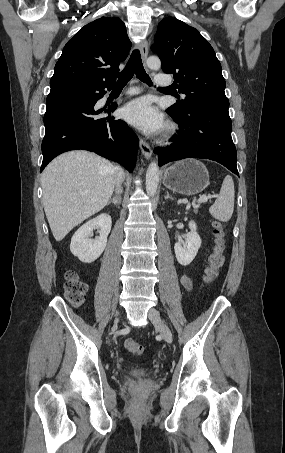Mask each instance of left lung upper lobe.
I'll use <instances>...</instances> for the list:
<instances>
[{"instance_id":"5c2ea615","label":"left lung upper lobe","mask_w":285,"mask_h":453,"mask_svg":"<svg viewBox=\"0 0 285 453\" xmlns=\"http://www.w3.org/2000/svg\"><path fill=\"white\" fill-rule=\"evenodd\" d=\"M151 48L161 59L163 71L174 75L179 93L185 94L170 110L179 114L200 108L228 112L220 62L198 30L176 18H164Z\"/></svg>"}]
</instances>
